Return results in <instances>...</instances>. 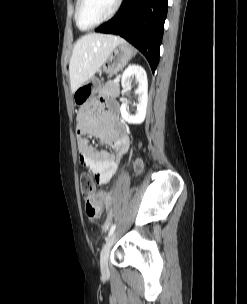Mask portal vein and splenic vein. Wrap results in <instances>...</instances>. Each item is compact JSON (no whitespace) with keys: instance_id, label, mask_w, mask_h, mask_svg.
Segmentation results:
<instances>
[{"instance_id":"obj_1","label":"portal vein and splenic vein","mask_w":247,"mask_h":304,"mask_svg":"<svg viewBox=\"0 0 247 304\" xmlns=\"http://www.w3.org/2000/svg\"><path fill=\"white\" fill-rule=\"evenodd\" d=\"M119 80H120V78L117 77V78L114 80V82H119Z\"/></svg>"}]
</instances>
